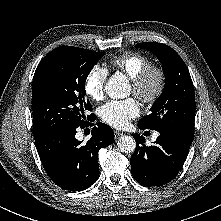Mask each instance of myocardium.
I'll use <instances>...</instances> for the list:
<instances>
[{"mask_svg":"<svg viewBox=\"0 0 221 221\" xmlns=\"http://www.w3.org/2000/svg\"><path fill=\"white\" fill-rule=\"evenodd\" d=\"M134 94L144 103H153L163 93L166 74L161 67L151 65L132 79Z\"/></svg>","mask_w":221,"mask_h":221,"instance_id":"1","label":"myocardium"}]
</instances>
